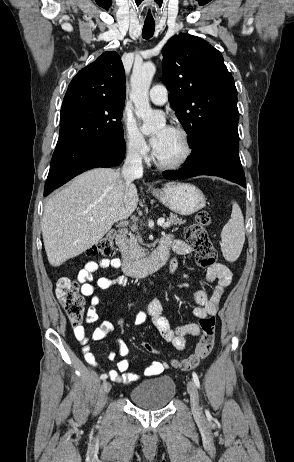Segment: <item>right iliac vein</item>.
Masks as SVG:
<instances>
[{
  "instance_id": "1",
  "label": "right iliac vein",
  "mask_w": 294,
  "mask_h": 462,
  "mask_svg": "<svg viewBox=\"0 0 294 462\" xmlns=\"http://www.w3.org/2000/svg\"><path fill=\"white\" fill-rule=\"evenodd\" d=\"M103 390H104V392H105L106 394L109 393V391L111 390V384L108 383V382H106V381H104V382H103Z\"/></svg>"
}]
</instances>
